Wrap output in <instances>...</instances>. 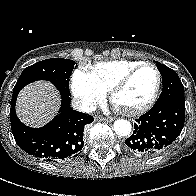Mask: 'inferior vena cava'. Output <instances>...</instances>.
Masks as SVG:
<instances>
[{"instance_id": "inferior-vena-cava-1", "label": "inferior vena cava", "mask_w": 196, "mask_h": 196, "mask_svg": "<svg viewBox=\"0 0 196 196\" xmlns=\"http://www.w3.org/2000/svg\"><path fill=\"white\" fill-rule=\"evenodd\" d=\"M72 108L85 113H90L96 110V106L92 102L81 98H74L72 100Z\"/></svg>"}]
</instances>
